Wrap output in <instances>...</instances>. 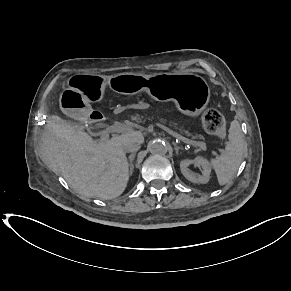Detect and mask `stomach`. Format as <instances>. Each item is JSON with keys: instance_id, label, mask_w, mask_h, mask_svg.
<instances>
[{"instance_id": "1", "label": "stomach", "mask_w": 291, "mask_h": 291, "mask_svg": "<svg viewBox=\"0 0 291 291\" xmlns=\"http://www.w3.org/2000/svg\"><path fill=\"white\" fill-rule=\"evenodd\" d=\"M69 87L60 95L61 110L77 119H84L90 112L91 101L102 98L105 86L122 94L146 91L152 98L172 100L185 115L196 117L207 107L210 89L199 75L190 73H120L110 77L79 74L68 80Z\"/></svg>"}]
</instances>
